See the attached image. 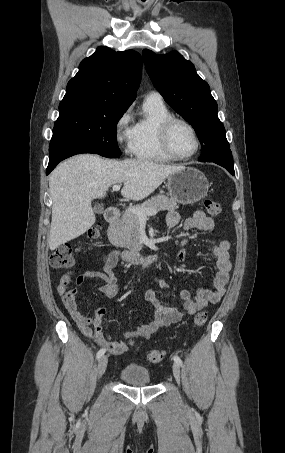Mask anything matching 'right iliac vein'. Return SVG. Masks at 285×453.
Segmentation results:
<instances>
[{"instance_id":"right-iliac-vein-1","label":"right iliac vein","mask_w":285,"mask_h":453,"mask_svg":"<svg viewBox=\"0 0 285 453\" xmlns=\"http://www.w3.org/2000/svg\"><path fill=\"white\" fill-rule=\"evenodd\" d=\"M107 363H108L107 356H105V355L101 356L100 359H99V362H98V375H99V377H101L104 374V372H105V370L107 368Z\"/></svg>"}]
</instances>
